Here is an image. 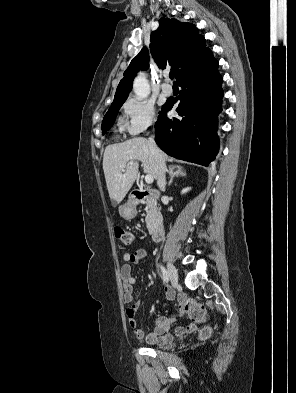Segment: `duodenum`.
<instances>
[{
	"label": "duodenum",
	"mask_w": 296,
	"mask_h": 393,
	"mask_svg": "<svg viewBox=\"0 0 296 393\" xmlns=\"http://www.w3.org/2000/svg\"><path fill=\"white\" fill-rule=\"evenodd\" d=\"M159 196L160 194L157 190L141 189L134 192L133 200H143L146 198L156 200L159 198ZM165 232L166 230L164 220L160 217H156L152 229V239L156 242L163 240L165 237Z\"/></svg>",
	"instance_id": "410a0bca"
}]
</instances>
